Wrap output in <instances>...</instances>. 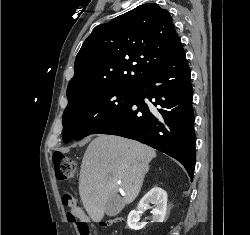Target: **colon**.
Here are the masks:
<instances>
[{
    "mask_svg": "<svg viewBox=\"0 0 250 235\" xmlns=\"http://www.w3.org/2000/svg\"><path fill=\"white\" fill-rule=\"evenodd\" d=\"M53 165H54V169H55V175L58 181H68L73 179L78 171V167H77V163L61 154V153H54L53 154ZM63 201L66 205H69L71 207L74 206L73 203V198L70 194H65L63 196ZM70 217H73L72 213H69ZM117 222H121V220L117 219V220H110L107 222V224H112V223H117ZM78 230L80 232L81 235H90V227L89 224L85 221H78L76 222Z\"/></svg>",
    "mask_w": 250,
    "mask_h": 235,
    "instance_id": "colon-1",
    "label": "colon"
}]
</instances>
